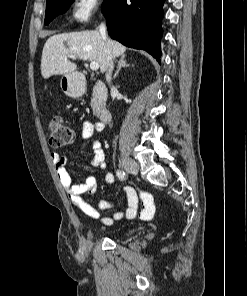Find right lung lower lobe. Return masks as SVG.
<instances>
[{"instance_id":"right-lung-lower-lobe-1","label":"right lung lower lobe","mask_w":247,"mask_h":296,"mask_svg":"<svg viewBox=\"0 0 247 296\" xmlns=\"http://www.w3.org/2000/svg\"><path fill=\"white\" fill-rule=\"evenodd\" d=\"M165 0H111L103 10L111 38L151 54L160 63Z\"/></svg>"}]
</instances>
